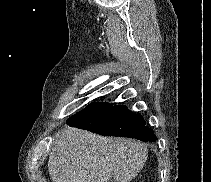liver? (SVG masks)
Returning <instances> with one entry per match:
<instances>
[{
	"label": "liver",
	"instance_id": "liver-1",
	"mask_svg": "<svg viewBox=\"0 0 211 182\" xmlns=\"http://www.w3.org/2000/svg\"><path fill=\"white\" fill-rule=\"evenodd\" d=\"M147 154L139 141L66 127L50 153L48 171L53 182H130Z\"/></svg>",
	"mask_w": 211,
	"mask_h": 182
}]
</instances>
